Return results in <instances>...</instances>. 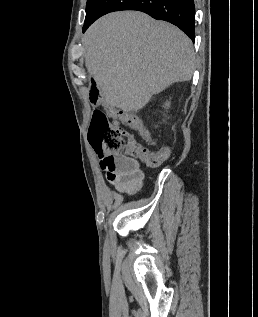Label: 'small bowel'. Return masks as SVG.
Returning <instances> with one entry per match:
<instances>
[{"instance_id": "1", "label": "small bowel", "mask_w": 258, "mask_h": 317, "mask_svg": "<svg viewBox=\"0 0 258 317\" xmlns=\"http://www.w3.org/2000/svg\"><path fill=\"white\" fill-rule=\"evenodd\" d=\"M113 121L115 125H124L133 128L138 131L149 144L157 145L149 131L137 117L116 113ZM156 151L164 154L165 159L170 155V148L166 145L158 146ZM97 154L100 158V166L105 171L108 182L112 184L119 193L133 195L141 189L143 172L140 169L138 161L120 155L105 156L100 152H97Z\"/></svg>"}]
</instances>
